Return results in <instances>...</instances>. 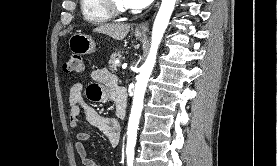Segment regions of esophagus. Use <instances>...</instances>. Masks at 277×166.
I'll use <instances>...</instances> for the list:
<instances>
[{"label": "esophagus", "mask_w": 277, "mask_h": 166, "mask_svg": "<svg viewBox=\"0 0 277 166\" xmlns=\"http://www.w3.org/2000/svg\"><path fill=\"white\" fill-rule=\"evenodd\" d=\"M136 33H139V34H142V35H145L148 33L149 31V25L148 23H141L139 24L136 29H135Z\"/></svg>", "instance_id": "1"}]
</instances>
